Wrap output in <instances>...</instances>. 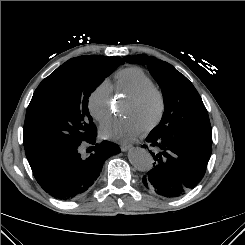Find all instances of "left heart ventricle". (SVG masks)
Here are the masks:
<instances>
[{
	"label": "left heart ventricle",
	"mask_w": 245,
	"mask_h": 245,
	"mask_svg": "<svg viewBox=\"0 0 245 245\" xmlns=\"http://www.w3.org/2000/svg\"><path fill=\"white\" fill-rule=\"evenodd\" d=\"M158 109V96L149 91L138 101L124 103L122 112L133 125L142 131L155 119Z\"/></svg>",
	"instance_id": "b2bd125f"
}]
</instances>
